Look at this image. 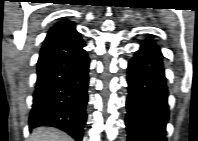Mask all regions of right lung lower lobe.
Returning <instances> with one entry per match:
<instances>
[{"label":"right lung lower lobe","instance_id":"98d812e1","mask_svg":"<svg viewBox=\"0 0 198 141\" xmlns=\"http://www.w3.org/2000/svg\"><path fill=\"white\" fill-rule=\"evenodd\" d=\"M85 45L77 31L43 45L37 63L30 130L52 126L82 140L90 63Z\"/></svg>","mask_w":198,"mask_h":141}]
</instances>
